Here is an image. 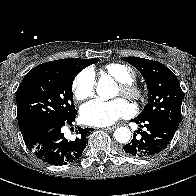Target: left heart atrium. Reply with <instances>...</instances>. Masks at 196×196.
<instances>
[{
	"instance_id": "1",
	"label": "left heart atrium",
	"mask_w": 196,
	"mask_h": 196,
	"mask_svg": "<svg viewBox=\"0 0 196 196\" xmlns=\"http://www.w3.org/2000/svg\"><path fill=\"white\" fill-rule=\"evenodd\" d=\"M132 106L123 99L111 101L92 100L81 107V120L92 126H108L132 114Z\"/></svg>"
}]
</instances>
